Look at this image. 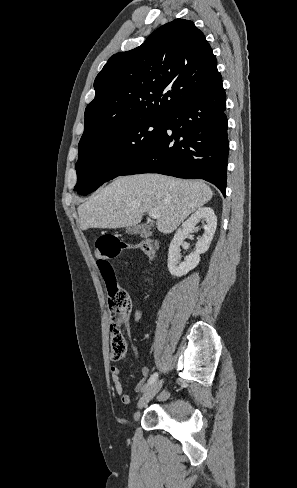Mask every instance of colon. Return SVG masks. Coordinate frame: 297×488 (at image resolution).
Returning <instances> with one entry per match:
<instances>
[{
    "label": "colon",
    "mask_w": 297,
    "mask_h": 488,
    "mask_svg": "<svg viewBox=\"0 0 297 488\" xmlns=\"http://www.w3.org/2000/svg\"><path fill=\"white\" fill-rule=\"evenodd\" d=\"M95 247L99 255L97 265L108 291L111 355L113 359L120 360L124 357L127 348L122 325L124 319L130 313L132 304L128 292L119 287L115 270L110 260L117 258L121 252L129 249H140L153 260L155 258V250L149 242L127 243L107 233L98 237Z\"/></svg>",
    "instance_id": "colon-1"
}]
</instances>
